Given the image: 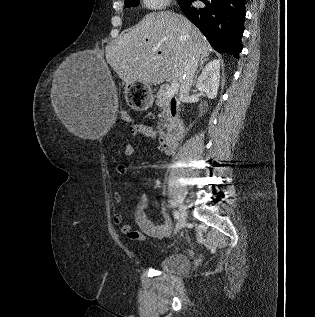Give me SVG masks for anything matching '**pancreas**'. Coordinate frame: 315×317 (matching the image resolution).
I'll return each mask as SVG.
<instances>
[{
    "label": "pancreas",
    "mask_w": 315,
    "mask_h": 317,
    "mask_svg": "<svg viewBox=\"0 0 315 317\" xmlns=\"http://www.w3.org/2000/svg\"><path fill=\"white\" fill-rule=\"evenodd\" d=\"M167 89L166 87L162 86L157 95H156V105L161 108L163 111L161 113V120L164 121V124H162L163 127L168 126V122L171 119L170 115V97L167 95Z\"/></svg>",
    "instance_id": "obj_1"
}]
</instances>
